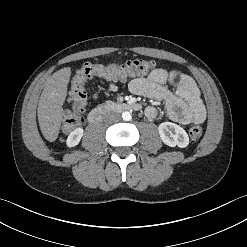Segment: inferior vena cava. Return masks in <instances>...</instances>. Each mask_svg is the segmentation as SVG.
<instances>
[{
	"label": "inferior vena cava",
	"mask_w": 247,
	"mask_h": 247,
	"mask_svg": "<svg viewBox=\"0 0 247 247\" xmlns=\"http://www.w3.org/2000/svg\"><path fill=\"white\" fill-rule=\"evenodd\" d=\"M105 120L107 122H118L120 120V115L118 113H108L105 115Z\"/></svg>",
	"instance_id": "602c4592"
}]
</instances>
